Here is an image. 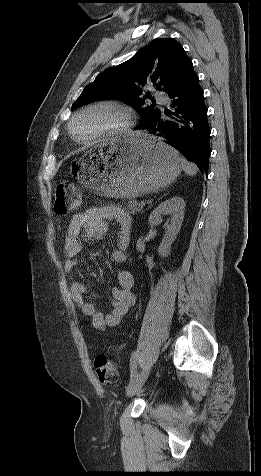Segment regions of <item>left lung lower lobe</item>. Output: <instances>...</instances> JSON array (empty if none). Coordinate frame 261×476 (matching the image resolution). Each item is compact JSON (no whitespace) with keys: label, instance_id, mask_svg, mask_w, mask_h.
Masks as SVG:
<instances>
[{"label":"left lung lower lobe","instance_id":"left-lung-lower-lobe-1","mask_svg":"<svg viewBox=\"0 0 261 476\" xmlns=\"http://www.w3.org/2000/svg\"><path fill=\"white\" fill-rule=\"evenodd\" d=\"M168 95L171 99L169 108L160 111L155 119L138 129L155 131V135L207 175L211 130L203 90L193 65L180 85Z\"/></svg>","mask_w":261,"mask_h":476}]
</instances>
